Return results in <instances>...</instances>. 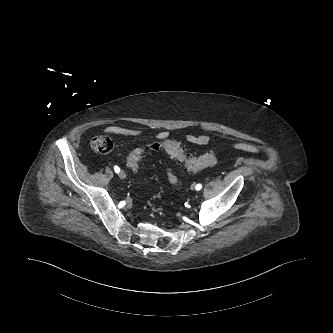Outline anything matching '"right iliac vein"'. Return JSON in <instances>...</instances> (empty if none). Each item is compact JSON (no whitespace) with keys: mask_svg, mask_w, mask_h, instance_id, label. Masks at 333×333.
Here are the masks:
<instances>
[{"mask_svg":"<svg viewBox=\"0 0 333 333\" xmlns=\"http://www.w3.org/2000/svg\"><path fill=\"white\" fill-rule=\"evenodd\" d=\"M118 175H119L120 179H125V178H126V174H125V172L122 171V170L119 172Z\"/></svg>","mask_w":333,"mask_h":333,"instance_id":"right-iliac-vein-1","label":"right iliac vein"}]
</instances>
